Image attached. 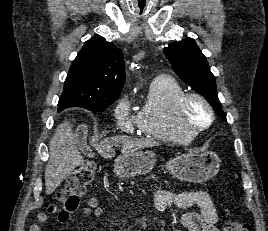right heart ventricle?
<instances>
[{"label":"right heart ventricle","instance_id":"e07e8e85","mask_svg":"<svg viewBox=\"0 0 268 231\" xmlns=\"http://www.w3.org/2000/svg\"><path fill=\"white\" fill-rule=\"evenodd\" d=\"M184 92L172 77L160 76L151 82L146 100L137 114L138 126L145 137L178 143L188 140L178 130L174 116L175 103Z\"/></svg>","mask_w":268,"mask_h":231}]
</instances>
